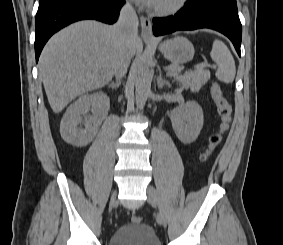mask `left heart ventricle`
I'll use <instances>...</instances> for the list:
<instances>
[{
    "label": "left heart ventricle",
    "instance_id": "b2bd125f",
    "mask_svg": "<svg viewBox=\"0 0 283 245\" xmlns=\"http://www.w3.org/2000/svg\"><path fill=\"white\" fill-rule=\"evenodd\" d=\"M171 1L172 0H157L156 3H158V4H165V3H169Z\"/></svg>",
    "mask_w": 283,
    "mask_h": 245
}]
</instances>
